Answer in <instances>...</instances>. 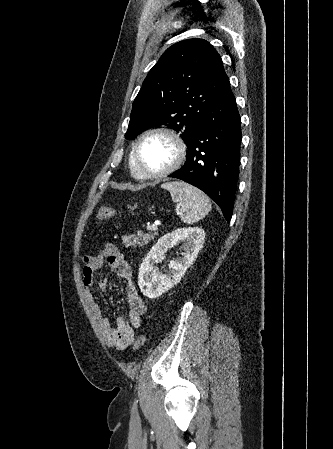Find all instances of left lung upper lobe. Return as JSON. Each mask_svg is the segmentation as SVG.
Listing matches in <instances>:
<instances>
[{"label":"left lung upper lobe","mask_w":333,"mask_h":449,"mask_svg":"<svg viewBox=\"0 0 333 449\" xmlns=\"http://www.w3.org/2000/svg\"><path fill=\"white\" fill-rule=\"evenodd\" d=\"M229 81L220 55L204 39L180 41L149 71L135 98L125 137L152 126L180 133L189 148L208 106Z\"/></svg>","instance_id":"5c2ea615"}]
</instances>
